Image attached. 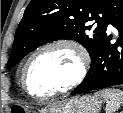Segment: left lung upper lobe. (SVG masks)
I'll list each match as a JSON object with an SVG mask.
<instances>
[{
	"mask_svg": "<svg viewBox=\"0 0 123 113\" xmlns=\"http://www.w3.org/2000/svg\"><path fill=\"white\" fill-rule=\"evenodd\" d=\"M111 0H32L16 30L7 69L40 45L58 39L81 43L91 58L106 37ZM92 21L97 26L92 29Z\"/></svg>",
	"mask_w": 123,
	"mask_h": 113,
	"instance_id": "5c2ea615",
	"label": "left lung upper lobe"
}]
</instances>
